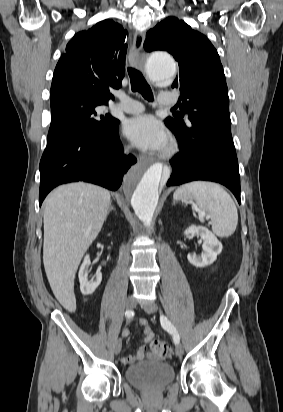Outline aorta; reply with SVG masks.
I'll list each match as a JSON object with an SVG mask.
<instances>
[{
  "mask_svg": "<svg viewBox=\"0 0 283 412\" xmlns=\"http://www.w3.org/2000/svg\"><path fill=\"white\" fill-rule=\"evenodd\" d=\"M145 72L156 84H169L176 74V64L165 52H155L145 61ZM163 174L161 163L146 168L132 169L124 181V191L130 195L137 217L150 227L158 203V188Z\"/></svg>",
  "mask_w": 283,
  "mask_h": 412,
  "instance_id": "762f6f07",
  "label": "aorta"
}]
</instances>
